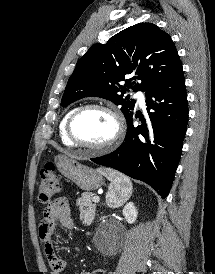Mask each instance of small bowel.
<instances>
[{"label":"small bowel","instance_id":"c3829d8e","mask_svg":"<svg viewBox=\"0 0 215 274\" xmlns=\"http://www.w3.org/2000/svg\"><path fill=\"white\" fill-rule=\"evenodd\" d=\"M58 223L66 229L75 228V220L65 198L56 199L46 208L39 225V236L44 243L45 254L51 267V274H60L67 265L66 261L59 257L54 250L53 237ZM101 272H103L102 269H96L81 274H99Z\"/></svg>","mask_w":215,"mask_h":274}]
</instances>
